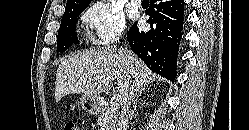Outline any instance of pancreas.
Here are the masks:
<instances>
[{
    "label": "pancreas",
    "instance_id": "pancreas-1",
    "mask_svg": "<svg viewBox=\"0 0 249 130\" xmlns=\"http://www.w3.org/2000/svg\"><path fill=\"white\" fill-rule=\"evenodd\" d=\"M97 124L100 126V130H115V111L111 107H105L98 117Z\"/></svg>",
    "mask_w": 249,
    "mask_h": 130
}]
</instances>
